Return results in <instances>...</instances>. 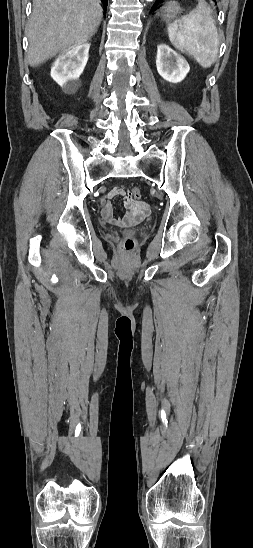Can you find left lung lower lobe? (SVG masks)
<instances>
[{
	"label": "left lung lower lobe",
	"instance_id": "0a47b994",
	"mask_svg": "<svg viewBox=\"0 0 253 548\" xmlns=\"http://www.w3.org/2000/svg\"><path fill=\"white\" fill-rule=\"evenodd\" d=\"M162 0H157L155 3H154V6L155 7L159 2H161ZM215 1V0H214Z\"/></svg>",
	"mask_w": 253,
	"mask_h": 548
}]
</instances>
